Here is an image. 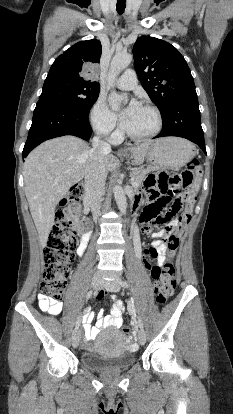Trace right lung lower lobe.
<instances>
[{
	"mask_svg": "<svg viewBox=\"0 0 233 414\" xmlns=\"http://www.w3.org/2000/svg\"><path fill=\"white\" fill-rule=\"evenodd\" d=\"M88 114L51 100H39L22 157L25 158L33 148L51 138L74 135L88 140L92 133Z\"/></svg>",
	"mask_w": 233,
	"mask_h": 414,
	"instance_id": "1",
	"label": "right lung lower lobe"
}]
</instances>
